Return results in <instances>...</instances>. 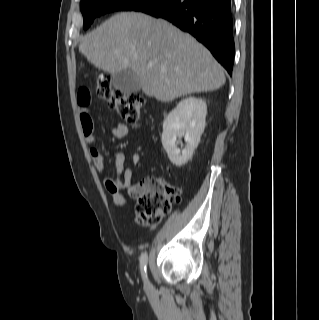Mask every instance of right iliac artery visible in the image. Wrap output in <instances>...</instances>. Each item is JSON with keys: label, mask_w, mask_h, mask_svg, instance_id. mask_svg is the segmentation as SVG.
<instances>
[{"label": "right iliac artery", "mask_w": 319, "mask_h": 320, "mask_svg": "<svg viewBox=\"0 0 319 320\" xmlns=\"http://www.w3.org/2000/svg\"><path fill=\"white\" fill-rule=\"evenodd\" d=\"M148 256L147 253H142L140 258V268L143 279L147 278L146 267H147Z\"/></svg>", "instance_id": "82829eb1"}]
</instances>
